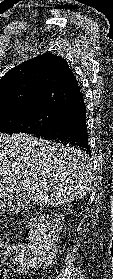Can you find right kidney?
Returning <instances> with one entry per match:
<instances>
[{"label":"right kidney","instance_id":"ca27d5eb","mask_svg":"<svg viewBox=\"0 0 113 279\" xmlns=\"http://www.w3.org/2000/svg\"><path fill=\"white\" fill-rule=\"evenodd\" d=\"M51 228L53 231H60L64 225L65 216L63 214H55Z\"/></svg>","mask_w":113,"mask_h":279}]
</instances>
